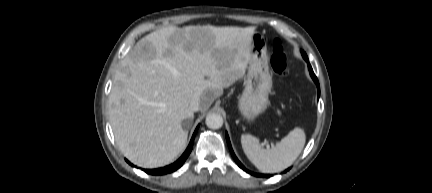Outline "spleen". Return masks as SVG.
Instances as JSON below:
<instances>
[{
  "mask_svg": "<svg viewBox=\"0 0 432 193\" xmlns=\"http://www.w3.org/2000/svg\"><path fill=\"white\" fill-rule=\"evenodd\" d=\"M305 141V133L298 127L271 149L263 148L259 140L252 135L243 134L241 136L245 155L262 173H276L291 166L302 152Z\"/></svg>",
  "mask_w": 432,
  "mask_h": 193,
  "instance_id": "spleen-1",
  "label": "spleen"
}]
</instances>
